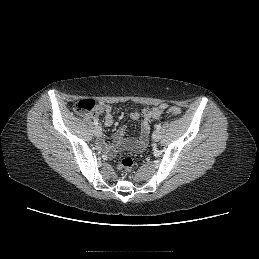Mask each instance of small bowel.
I'll return each mask as SVG.
<instances>
[{
	"instance_id": "1",
	"label": "small bowel",
	"mask_w": 259,
	"mask_h": 259,
	"mask_svg": "<svg viewBox=\"0 0 259 259\" xmlns=\"http://www.w3.org/2000/svg\"><path fill=\"white\" fill-rule=\"evenodd\" d=\"M167 108L166 104L145 108L143 110H135L131 113L132 120H141V130L138 138L126 139V127H120L114 135V144L109 145L104 140L99 142V146L103 148L108 154L112 155L119 149L130 148L136 151H142L147 142L150 133V121L152 119L160 118ZM104 113L105 125L110 127L114 124V115L112 107L108 104L102 105L98 108L97 114Z\"/></svg>"
}]
</instances>
